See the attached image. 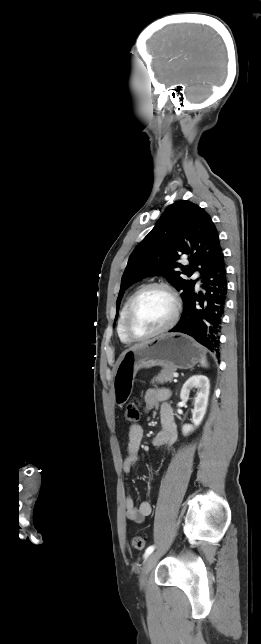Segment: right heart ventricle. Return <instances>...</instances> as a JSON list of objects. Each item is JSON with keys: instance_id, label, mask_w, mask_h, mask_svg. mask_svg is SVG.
<instances>
[{"instance_id": "e07e8e85", "label": "right heart ventricle", "mask_w": 261, "mask_h": 644, "mask_svg": "<svg viewBox=\"0 0 261 644\" xmlns=\"http://www.w3.org/2000/svg\"><path fill=\"white\" fill-rule=\"evenodd\" d=\"M132 295H133V292H131L127 296V298H126V300H125V302H124V304L122 306L120 316H119V320H118V326H117V333H118L119 339L121 340L122 343L127 344V345L131 344L132 341L130 339H128L127 336L124 333L123 321H124V316H125V312H126L128 303H129Z\"/></svg>"}]
</instances>
